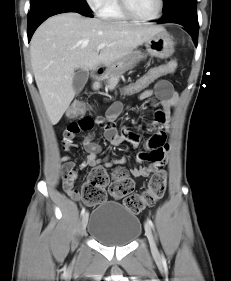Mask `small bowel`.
<instances>
[{
	"mask_svg": "<svg viewBox=\"0 0 231 281\" xmlns=\"http://www.w3.org/2000/svg\"><path fill=\"white\" fill-rule=\"evenodd\" d=\"M156 97L159 101V109L155 112L154 120L150 124V131L153 132L152 136L146 143L147 152H139L137 155L138 162L148 161L147 166H138L130 170V175L133 178L147 177L150 174L163 168L167 162L169 146L167 144V134L172 126L171 109L176 106L178 96L173 91L170 83L166 80H160L156 83L154 90H146L139 95L140 99H147ZM122 105L119 102L113 103L106 112V119L96 118L90 116H83L78 121L71 122L64 131L63 145L65 151H70L75 147V136L81 131L91 130L94 125H99L103 128L104 137L112 145L119 146L124 142L132 143L134 146L139 144V137L128 131L119 133L115 127L114 120L120 114ZM83 146L88 153L87 159L80 164L81 168L85 167H101L110 168L119 166L126 162L125 158L101 159L98 153L101 147L93 141V135L89 134L83 140ZM62 180L64 191L72 198L80 199L77 190L74 187V181L77 175L76 164L69 156L60 158Z\"/></svg>",
	"mask_w": 231,
	"mask_h": 281,
	"instance_id": "small-bowel-1",
	"label": "small bowel"
}]
</instances>
